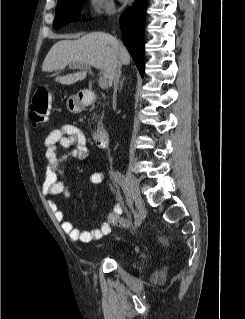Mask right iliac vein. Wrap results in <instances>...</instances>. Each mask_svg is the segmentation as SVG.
<instances>
[{"mask_svg": "<svg viewBox=\"0 0 245 319\" xmlns=\"http://www.w3.org/2000/svg\"><path fill=\"white\" fill-rule=\"evenodd\" d=\"M125 182L126 187L128 188L126 189V195H130L132 197L135 207L139 210L143 201L140 195L138 181L134 175L131 173H126Z\"/></svg>", "mask_w": 245, "mask_h": 319, "instance_id": "63e3f726", "label": "right iliac vein"}]
</instances>
